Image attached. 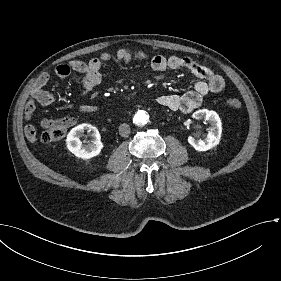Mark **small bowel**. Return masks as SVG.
Masks as SVG:
<instances>
[{
    "label": "small bowel",
    "instance_id": "obj_1",
    "mask_svg": "<svg viewBox=\"0 0 281 281\" xmlns=\"http://www.w3.org/2000/svg\"><path fill=\"white\" fill-rule=\"evenodd\" d=\"M116 59L123 63L134 60H148L152 70L162 72L165 70L186 69L194 74L199 81L194 85L191 91L184 94H162L157 98L159 105L183 113H189L198 108L204 98L209 93H219L225 87L224 78L215 73L208 67L200 65L188 57L162 55L147 56L141 51H132L128 48H122L117 51ZM113 60L111 54L105 52L98 58H93L87 62L72 60L68 65L62 64L56 68V75L65 78L71 72H76L81 76L80 94L85 96L89 94L101 81L102 66ZM51 74L43 73L35 82L31 90V97L27 101L24 109V117L30 120L35 111V104L50 105L56 100V96L48 91L45 87L49 82ZM83 113H95L99 111L97 106L83 105L79 108ZM52 122L45 120L44 126L51 125ZM25 139L30 141L36 140V132L32 125H27L23 133Z\"/></svg>",
    "mask_w": 281,
    "mask_h": 281
}]
</instances>
